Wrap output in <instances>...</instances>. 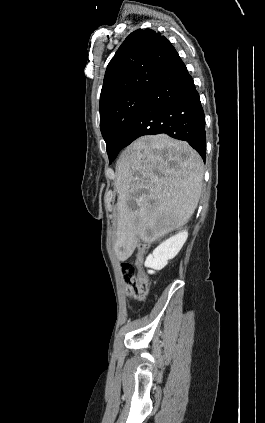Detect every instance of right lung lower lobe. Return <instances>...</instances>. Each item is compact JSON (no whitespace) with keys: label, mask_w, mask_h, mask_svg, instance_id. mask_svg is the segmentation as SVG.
<instances>
[{"label":"right lung lower lobe","mask_w":265,"mask_h":423,"mask_svg":"<svg viewBox=\"0 0 265 423\" xmlns=\"http://www.w3.org/2000/svg\"><path fill=\"white\" fill-rule=\"evenodd\" d=\"M160 133L187 141L205 161V115L193 79L179 55L122 131L118 151L140 136Z\"/></svg>","instance_id":"1"}]
</instances>
